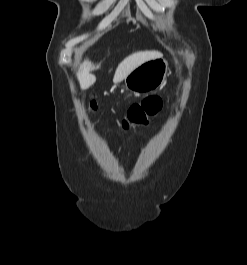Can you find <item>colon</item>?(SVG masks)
<instances>
[{
    "instance_id": "1",
    "label": "colon",
    "mask_w": 247,
    "mask_h": 265,
    "mask_svg": "<svg viewBox=\"0 0 247 265\" xmlns=\"http://www.w3.org/2000/svg\"><path fill=\"white\" fill-rule=\"evenodd\" d=\"M92 109H95V103H91ZM162 108V99L158 96H150L140 103L132 105L126 117L121 122L123 129H129L134 126L147 125Z\"/></svg>"
}]
</instances>
